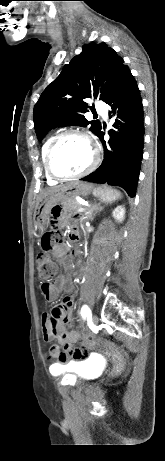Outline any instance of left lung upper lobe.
Wrapping results in <instances>:
<instances>
[{"label": "left lung upper lobe", "instance_id": "obj_1", "mask_svg": "<svg viewBox=\"0 0 165 461\" xmlns=\"http://www.w3.org/2000/svg\"><path fill=\"white\" fill-rule=\"evenodd\" d=\"M128 69L123 58L104 42L90 43L82 47L50 83L34 106V127L38 140L54 127L91 124L90 130L98 135L101 124L97 120L88 121L86 98L106 101L116 88L121 76Z\"/></svg>", "mask_w": 165, "mask_h": 461}]
</instances>
